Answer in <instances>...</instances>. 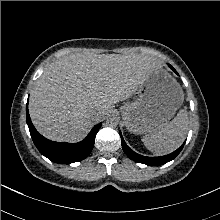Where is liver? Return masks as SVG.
<instances>
[{
	"mask_svg": "<svg viewBox=\"0 0 220 220\" xmlns=\"http://www.w3.org/2000/svg\"><path fill=\"white\" fill-rule=\"evenodd\" d=\"M159 60L144 54H81L48 65L29 100L35 128L54 141L77 142L113 106L128 99ZM98 115L91 116L92 111Z\"/></svg>",
	"mask_w": 220,
	"mask_h": 220,
	"instance_id": "6515ba94",
	"label": "liver"
}]
</instances>
